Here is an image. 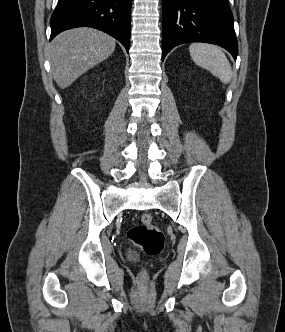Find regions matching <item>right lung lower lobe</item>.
Returning a JSON list of instances; mask_svg holds the SVG:
<instances>
[{
  "label": "right lung lower lobe",
  "mask_w": 285,
  "mask_h": 332,
  "mask_svg": "<svg viewBox=\"0 0 285 332\" xmlns=\"http://www.w3.org/2000/svg\"><path fill=\"white\" fill-rule=\"evenodd\" d=\"M132 0H59L50 20V41L60 32L75 27H92L130 47Z\"/></svg>",
  "instance_id": "obj_1"
}]
</instances>
